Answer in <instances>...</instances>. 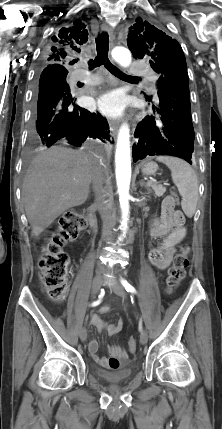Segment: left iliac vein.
<instances>
[{
	"label": "left iliac vein",
	"instance_id": "1",
	"mask_svg": "<svg viewBox=\"0 0 222 429\" xmlns=\"http://www.w3.org/2000/svg\"><path fill=\"white\" fill-rule=\"evenodd\" d=\"M111 289L113 290V292L115 293V294H117L118 296H120V297H122V298H125L126 297V291H125V289L123 288V286L120 284V283H118V282H114L112 285H111ZM147 341H148V334H147V331L145 330V329H142L141 330V333H140V343L141 344H146L147 343Z\"/></svg>",
	"mask_w": 222,
	"mask_h": 429
}]
</instances>
